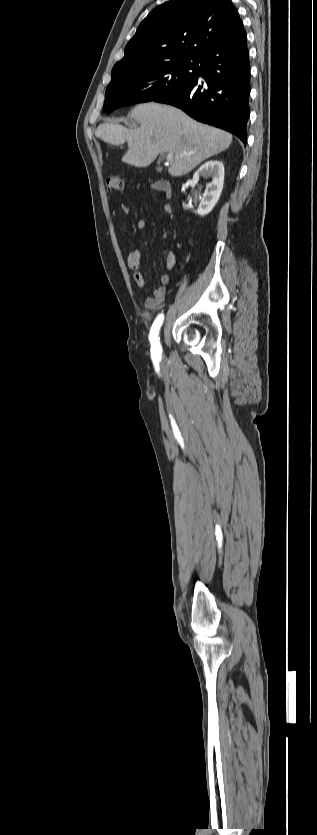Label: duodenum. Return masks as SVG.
Wrapping results in <instances>:
<instances>
[{
	"instance_id": "duodenum-1",
	"label": "duodenum",
	"mask_w": 317,
	"mask_h": 835,
	"mask_svg": "<svg viewBox=\"0 0 317 835\" xmlns=\"http://www.w3.org/2000/svg\"><path fill=\"white\" fill-rule=\"evenodd\" d=\"M159 184L161 185L160 189H162L167 194L168 197H171L170 184L168 182H165V181H160Z\"/></svg>"
}]
</instances>
